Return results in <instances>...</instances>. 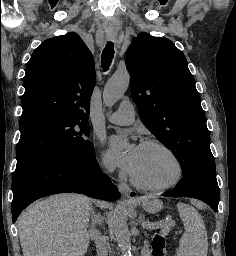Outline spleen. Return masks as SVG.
Returning a JSON list of instances; mask_svg holds the SVG:
<instances>
[{
  "mask_svg": "<svg viewBox=\"0 0 236 256\" xmlns=\"http://www.w3.org/2000/svg\"><path fill=\"white\" fill-rule=\"evenodd\" d=\"M177 210L185 232L179 242L176 256H207L208 238L202 216L188 204H177Z\"/></svg>",
  "mask_w": 236,
  "mask_h": 256,
  "instance_id": "spleen-1",
  "label": "spleen"
}]
</instances>
